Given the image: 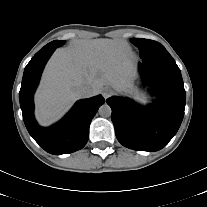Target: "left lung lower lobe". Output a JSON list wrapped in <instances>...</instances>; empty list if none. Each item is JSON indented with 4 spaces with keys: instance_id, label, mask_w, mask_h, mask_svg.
I'll return each instance as SVG.
<instances>
[{
    "instance_id": "1",
    "label": "left lung lower lobe",
    "mask_w": 207,
    "mask_h": 207,
    "mask_svg": "<svg viewBox=\"0 0 207 207\" xmlns=\"http://www.w3.org/2000/svg\"><path fill=\"white\" fill-rule=\"evenodd\" d=\"M142 80L157 99L143 107L124 97L106 100L118 141L138 151L162 149L178 131L184 116L186 94L181 72L171 56L142 59Z\"/></svg>"
}]
</instances>
